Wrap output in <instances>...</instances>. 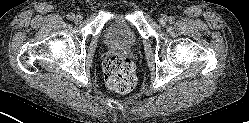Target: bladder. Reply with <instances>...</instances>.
<instances>
[{
    "label": "bladder",
    "mask_w": 249,
    "mask_h": 123,
    "mask_svg": "<svg viewBox=\"0 0 249 123\" xmlns=\"http://www.w3.org/2000/svg\"><path fill=\"white\" fill-rule=\"evenodd\" d=\"M102 41L107 46L134 48L140 43V35L129 20L115 16L105 27Z\"/></svg>",
    "instance_id": "obj_1"
}]
</instances>
